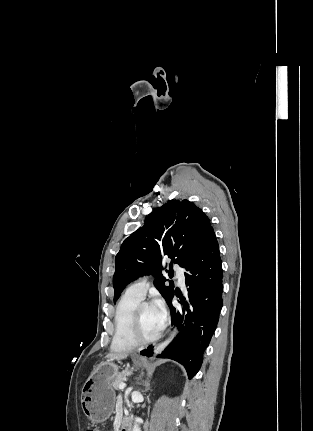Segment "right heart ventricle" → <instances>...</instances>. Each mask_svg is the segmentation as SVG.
<instances>
[{"mask_svg": "<svg viewBox=\"0 0 313 431\" xmlns=\"http://www.w3.org/2000/svg\"><path fill=\"white\" fill-rule=\"evenodd\" d=\"M140 301V298L125 292L117 302L114 313V334L111 343L113 351L129 352L136 348L130 337V329L133 312Z\"/></svg>", "mask_w": 313, "mask_h": 431, "instance_id": "1", "label": "right heart ventricle"}]
</instances>
